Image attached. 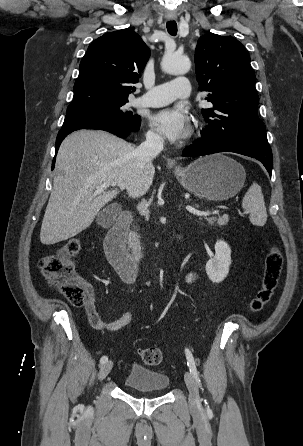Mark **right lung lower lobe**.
I'll list each match as a JSON object with an SVG mask.
<instances>
[{"mask_svg":"<svg viewBox=\"0 0 303 446\" xmlns=\"http://www.w3.org/2000/svg\"><path fill=\"white\" fill-rule=\"evenodd\" d=\"M80 129H97V130H104L108 131L110 133H113L121 138H125L130 134L135 133L136 131L130 130L126 128L125 126L110 121V120H104V119H85L81 120L72 124H69L67 126H62L60 129L57 138H56V147L55 152L57 153V150L63 141V139L70 134L73 131L80 130ZM55 164V157L52 163V169L54 168Z\"/></svg>","mask_w":303,"mask_h":446,"instance_id":"right-lung-lower-lobe-1","label":"right lung lower lobe"}]
</instances>
